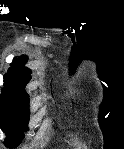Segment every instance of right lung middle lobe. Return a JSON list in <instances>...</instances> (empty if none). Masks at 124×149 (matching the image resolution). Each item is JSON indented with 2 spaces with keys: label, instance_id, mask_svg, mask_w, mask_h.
Segmentation results:
<instances>
[{
  "label": "right lung middle lobe",
  "instance_id": "right-lung-middle-lobe-1",
  "mask_svg": "<svg viewBox=\"0 0 124 149\" xmlns=\"http://www.w3.org/2000/svg\"><path fill=\"white\" fill-rule=\"evenodd\" d=\"M0 95V128L7 135L4 144L15 148L24 138L28 130L29 95L24 89L6 86Z\"/></svg>",
  "mask_w": 124,
  "mask_h": 149
}]
</instances>
